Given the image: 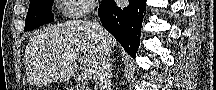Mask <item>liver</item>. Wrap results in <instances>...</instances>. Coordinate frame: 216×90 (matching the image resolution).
I'll list each match as a JSON object with an SVG mask.
<instances>
[{"instance_id":"obj_1","label":"liver","mask_w":216,"mask_h":90,"mask_svg":"<svg viewBox=\"0 0 216 90\" xmlns=\"http://www.w3.org/2000/svg\"><path fill=\"white\" fill-rule=\"evenodd\" d=\"M110 48L117 46V40L103 30ZM96 28L91 22L72 20L57 26H47L33 34L25 50L27 64H38L45 80H70L77 68L92 76V66L99 62L100 44Z\"/></svg>"}]
</instances>
